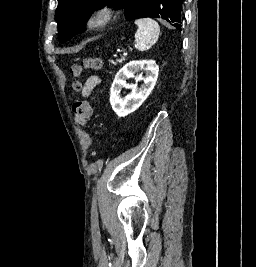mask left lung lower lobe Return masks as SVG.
<instances>
[{"label": "left lung lower lobe", "instance_id": "obj_1", "mask_svg": "<svg viewBox=\"0 0 256 267\" xmlns=\"http://www.w3.org/2000/svg\"><path fill=\"white\" fill-rule=\"evenodd\" d=\"M184 0H175V7H176V21H175V27L179 30H182V3Z\"/></svg>", "mask_w": 256, "mask_h": 267}]
</instances>
